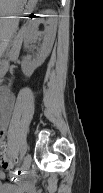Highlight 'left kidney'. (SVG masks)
Here are the masks:
<instances>
[{"instance_id": "5707ae66", "label": "left kidney", "mask_w": 103, "mask_h": 193, "mask_svg": "<svg viewBox=\"0 0 103 193\" xmlns=\"http://www.w3.org/2000/svg\"><path fill=\"white\" fill-rule=\"evenodd\" d=\"M44 13L51 14V11L46 10ZM41 22L42 20L40 19L34 20V22L32 23V33L36 32L37 27ZM48 24H49V27L44 32L43 43L41 45L40 52L37 55L36 59L32 61H23L21 64L22 72L24 73L25 76L30 77L33 74L34 70L44 63L45 59L48 57V55L51 52L55 35H56V22L53 18H50L48 20ZM27 43H28V40L25 42V44Z\"/></svg>"}]
</instances>
